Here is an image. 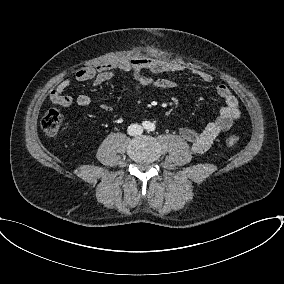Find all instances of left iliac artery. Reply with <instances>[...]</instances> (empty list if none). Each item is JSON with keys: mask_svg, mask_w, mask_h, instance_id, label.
Masks as SVG:
<instances>
[{"mask_svg": "<svg viewBox=\"0 0 284 284\" xmlns=\"http://www.w3.org/2000/svg\"><path fill=\"white\" fill-rule=\"evenodd\" d=\"M154 129H155V125H154V124H151L150 130L153 131Z\"/></svg>", "mask_w": 284, "mask_h": 284, "instance_id": "left-iliac-artery-1", "label": "left iliac artery"}]
</instances>
